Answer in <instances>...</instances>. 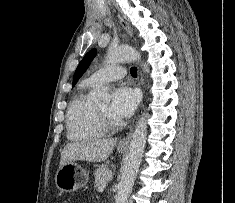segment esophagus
<instances>
[{"label":"esophagus","instance_id":"1","mask_svg":"<svg viewBox=\"0 0 235 203\" xmlns=\"http://www.w3.org/2000/svg\"><path fill=\"white\" fill-rule=\"evenodd\" d=\"M118 19H119L120 24L122 25L123 29L127 33V35L130 38H132L133 31H132L131 27L129 26V24L127 23V21L124 20V18L120 15H118ZM132 132H133V126L130 127L129 132L127 133V135L123 139L120 140V142H119L120 146H128L130 144Z\"/></svg>","mask_w":235,"mask_h":203}]
</instances>
